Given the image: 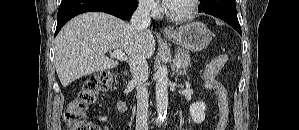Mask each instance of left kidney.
<instances>
[{"instance_id":"1","label":"left kidney","mask_w":299,"mask_h":130,"mask_svg":"<svg viewBox=\"0 0 299 130\" xmlns=\"http://www.w3.org/2000/svg\"><path fill=\"white\" fill-rule=\"evenodd\" d=\"M205 103L198 101L190 106V116L194 123H201L205 120Z\"/></svg>"}]
</instances>
